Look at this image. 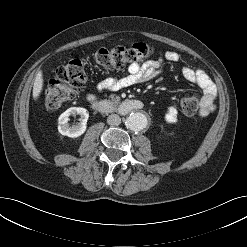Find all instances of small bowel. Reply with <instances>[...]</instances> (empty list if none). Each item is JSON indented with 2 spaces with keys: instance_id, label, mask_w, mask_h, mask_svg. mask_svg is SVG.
<instances>
[{
  "instance_id": "obj_1",
  "label": "small bowel",
  "mask_w": 247,
  "mask_h": 247,
  "mask_svg": "<svg viewBox=\"0 0 247 247\" xmlns=\"http://www.w3.org/2000/svg\"><path fill=\"white\" fill-rule=\"evenodd\" d=\"M180 56L176 51H166L157 60L145 62L143 64L132 63L128 67L127 74L123 77H109L98 84V91H118L135 84L149 82L156 79L161 73L163 60L177 62ZM183 77L190 83L196 85L202 92L200 100L199 115L202 117L210 114L215 106L217 89L209 76L201 69L190 66L182 67ZM97 98V94H87V99L92 101Z\"/></svg>"
}]
</instances>
